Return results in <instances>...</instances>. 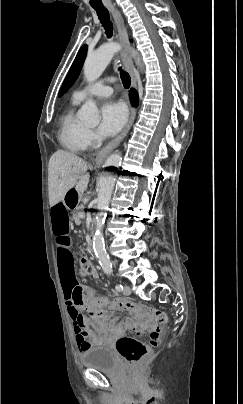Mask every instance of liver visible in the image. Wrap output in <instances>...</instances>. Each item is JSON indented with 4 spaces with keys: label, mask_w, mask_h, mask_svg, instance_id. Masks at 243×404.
Instances as JSON below:
<instances>
[{
    "label": "liver",
    "mask_w": 243,
    "mask_h": 404,
    "mask_svg": "<svg viewBox=\"0 0 243 404\" xmlns=\"http://www.w3.org/2000/svg\"><path fill=\"white\" fill-rule=\"evenodd\" d=\"M87 170V162L72 152L58 150L51 156L48 166V192L51 208L64 200L67 192L74 186L79 194H83L87 190L89 184V174H85Z\"/></svg>",
    "instance_id": "liver-1"
}]
</instances>
